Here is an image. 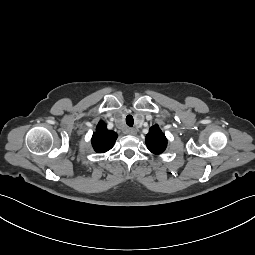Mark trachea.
I'll return each mask as SVG.
<instances>
[{
    "mask_svg": "<svg viewBox=\"0 0 255 255\" xmlns=\"http://www.w3.org/2000/svg\"><path fill=\"white\" fill-rule=\"evenodd\" d=\"M126 124H127L129 127H132V126H133V124H134V119H133V117H132L131 115H128V116L126 117Z\"/></svg>",
    "mask_w": 255,
    "mask_h": 255,
    "instance_id": "obj_1",
    "label": "trachea"
}]
</instances>
